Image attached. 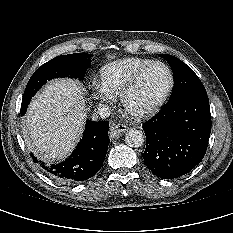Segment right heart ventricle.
Wrapping results in <instances>:
<instances>
[{
  "instance_id": "obj_1",
  "label": "right heart ventricle",
  "mask_w": 233,
  "mask_h": 233,
  "mask_svg": "<svg viewBox=\"0 0 233 233\" xmlns=\"http://www.w3.org/2000/svg\"><path fill=\"white\" fill-rule=\"evenodd\" d=\"M151 62L150 59L135 57L110 62L100 69L99 84L114 97H119L134 74Z\"/></svg>"
}]
</instances>
